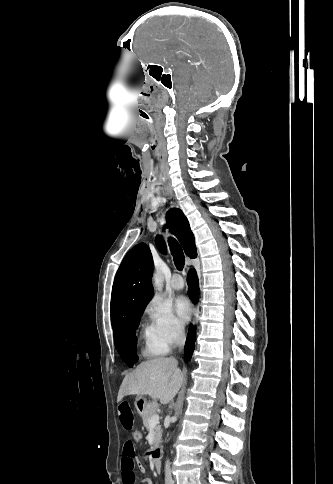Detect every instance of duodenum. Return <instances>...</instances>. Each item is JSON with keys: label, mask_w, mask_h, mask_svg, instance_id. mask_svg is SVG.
Here are the masks:
<instances>
[{"label": "duodenum", "mask_w": 333, "mask_h": 484, "mask_svg": "<svg viewBox=\"0 0 333 484\" xmlns=\"http://www.w3.org/2000/svg\"><path fill=\"white\" fill-rule=\"evenodd\" d=\"M152 461L156 471L161 469V451L160 449H155L152 454Z\"/></svg>", "instance_id": "duodenum-1"}]
</instances>
